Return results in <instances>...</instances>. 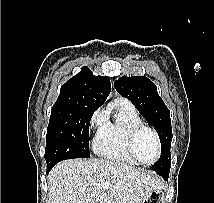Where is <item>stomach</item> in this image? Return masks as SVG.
I'll return each mask as SVG.
<instances>
[{
    "instance_id": "1",
    "label": "stomach",
    "mask_w": 214,
    "mask_h": 203,
    "mask_svg": "<svg viewBox=\"0 0 214 203\" xmlns=\"http://www.w3.org/2000/svg\"><path fill=\"white\" fill-rule=\"evenodd\" d=\"M142 203H168L163 188L150 192Z\"/></svg>"
}]
</instances>
